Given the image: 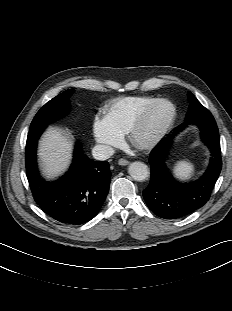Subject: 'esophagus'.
Listing matches in <instances>:
<instances>
[{
    "label": "esophagus",
    "instance_id": "esophagus-1",
    "mask_svg": "<svg viewBox=\"0 0 232 311\" xmlns=\"http://www.w3.org/2000/svg\"><path fill=\"white\" fill-rule=\"evenodd\" d=\"M118 164L121 166H125L129 164V161L126 159H119Z\"/></svg>",
    "mask_w": 232,
    "mask_h": 311
}]
</instances>
